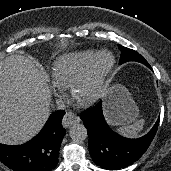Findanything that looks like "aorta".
<instances>
[{
	"label": "aorta",
	"instance_id": "obj_1",
	"mask_svg": "<svg viewBox=\"0 0 171 171\" xmlns=\"http://www.w3.org/2000/svg\"><path fill=\"white\" fill-rule=\"evenodd\" d=\"M69 135L73 141L81 142L87 138V129L83 124H74L70 128Z\"/></svg>",
	"mask_w": 171,
	"mask_h": 171
}]
</instances>
